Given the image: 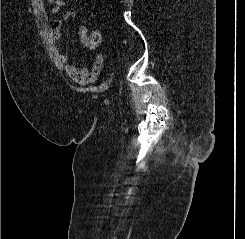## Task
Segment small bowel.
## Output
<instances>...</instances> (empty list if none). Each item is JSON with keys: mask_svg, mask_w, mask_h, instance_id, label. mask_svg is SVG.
I'll list each match as a JSON object with an SVG mask.
<instances>
[{"mask_svg": "<svg viewBox=\"0 0 245 239\" xmlns=\"http://www.w3.org/2000/svg\"><path fill=\"white\" fill-rule=\"evenodd\" d=\"M53 4L52 12L58 13L61 9L64 8L65 2L63 0H55V2H51ZM77 16V12L74 9H69L64 14L62 19H56L51 26V30L53 35L59 39L61 37V28L64 20L74 19ZM82 45L84 47H88L86 40V33L82 32ZM97 41L100 40V34L98 32H94L93 35ZM61 61L65 65V69L69 77L80 85H86L96 81L102 70L103 66V56L100 53H97L94 57V63L91 69L78 67L71 63L70 56L67 53L61 55Z\"/></svg>", "mask_w": 245, "mask_h": 239, "instance_id": "c3829d8e", "label": "small bowel"}]
</instances>
